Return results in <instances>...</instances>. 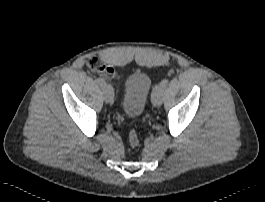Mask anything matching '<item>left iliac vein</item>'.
Returning a JSON list of instances; mask_svg holds the SVG:
<instances>
[{
    "instance_id": "4c4485c4",
    "label": "left iliac vein",
    "mask_w": 265,
    "mask_h": 202,
    "mask_svg": "<svg viewBox=\"0 0 265 202\" xmlns=\"http://www.w3.org/2000/svg\"><path fill=\"white\" fill-rule=\"evenodd\" d=\"M164 89L158 90L152 95V103L155 107H160L162 104Z\"/></svg>"
}]
</instances>
